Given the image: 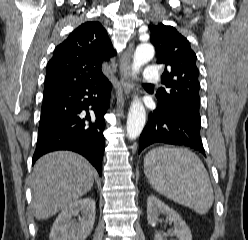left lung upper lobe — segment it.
<instances>
[{
	"label": "left lung upper lobe",
	"instance_id": "obj_1",
	"mask_svg": "<svg viewBox=\"0 0 248 240\" xmlns=\"http://www.w3.org/2000/svg\"><path fill=\"white\" fill-rule=\"evenodd\" d=\"M149 29L157 61L166 66L162 83L169 88L157 91L158 106L167 110L199 112V71L189 41L172 26L160 23Z\"/></svg>",
	"mask_w": 248,
	"mask_h": 240
}]
</instances>
